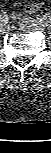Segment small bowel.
Listing matches in <instances>:
<instances>
[{
	"label": "small bowel",
	"mask_w": 51,
	"mask_h": 153,
	"mask_svg": "<svg viewBox=\"0 0 51 153\" xmlns=\"http://www.w3.org/2000/svg\"><path fill=\"white\" fill-rule=\"evenodd\" d=\"M43 7V2L42 1H37L35 3H32L28 7L25 8V10L22 13H14L11 15V19L13 20H18L22 18L25 15H32L38 11H40Z\"/></svg>",
	"instance_id": "obj_1"
}]
</instances>
